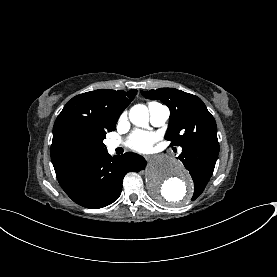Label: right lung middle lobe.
Here are the masks:
<instances>
[{
	"label": "right lung middle lobe",
	"mask_w": 277,
	"mask_h": 277,
	"mask_svg": "<svg viewBox=\"0 0 277 277\" xmlns=\"http://www.w3.org/2000/svg\"><path fill=\"white\" fill-rule=\"evenodd\" d=\"M103 139H100L98 142L88 139L78 141L71 146L63 162L71 164L107 150L103 144Z\"/></svg>",
	"instance_id": "1"
}]
</instances>
